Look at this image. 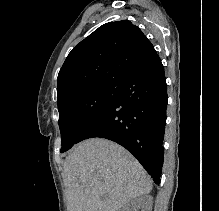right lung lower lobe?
I'll use <instances>...</instances> for the list:
<instances>
[{
  "label": "right lung lower lobe",
  "instance_id": "98d812e1",
  "mask_svg": "<svg viewBox=\"0 0 219 211\" xmlns=\"http://www.w3.org/2000/svg\"><path fill=\"white\" fill-rule=\"evenodd\" d=\"M167 85L158 57L125 77L83 130L77 143L94 137L112 140L132 153L160 183L166 124Z\"/></svg>",
  "mask_w": 219,
  "mask_h": 211
}]
</instances>
